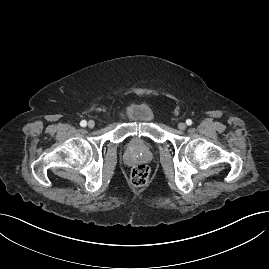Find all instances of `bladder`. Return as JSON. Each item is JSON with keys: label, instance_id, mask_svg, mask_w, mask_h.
Returning <instances> with one entry per match:
<instances>
[{"label": "bladder", "instance_id": "1", "mask_svg": "<svg viewBox=\"0 0 269 269\" xmlns=\"http://www.w3.org/2000/svg\"><path fill=\"white\" fill-rule=\"evenodd\" d=\"M126 117L136 123H150L154 119L152 108L143 102H136L127 107Z\"/></svg>", "mask_w": 269, "mask_h": 269}]
</instances>
